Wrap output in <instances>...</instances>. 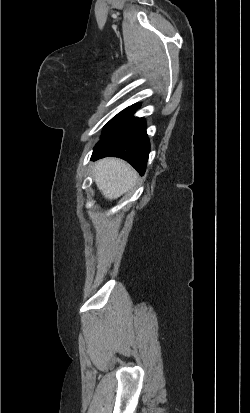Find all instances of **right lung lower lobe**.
<instances>
[{
  "label": "right lung lower lobe",
  "mask_w": 250,
  "mask_h": 413,
  "mask_svg": "<svg viewBox=\"0 0 250 413\" xmlns=\"http://www.w3.org/2000/svg\"><path fill=\"white\" fill-rule=\"evenodd\" d=\"M138 108L137 104L131 106L118 125L101 137L94 148L92 160L106 156L120 157L128 161L140 175H144L150 144L145 121L131 116Z\"/></svg>",
  "instance_id": "right-lung-lower-lobe-1"
}]
</instances>
